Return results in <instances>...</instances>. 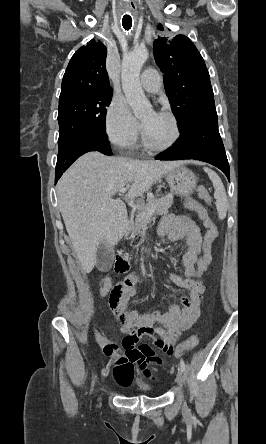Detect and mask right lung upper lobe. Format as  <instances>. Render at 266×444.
<instances>
[{"instance_id":"right-lung-upper-lobe-1","label":"right lung upper lobe","mask_w":266,"mask_h":444,"mask_svg":"<svg viewBox=\"0 0 266 444\" xmlns=\"http://www.w3.org/2000/svg\"><path fill=\"white\" fill-rule=\"evenodd\" d=\"M107 49L94 39L82 46L72 56L61 85L60 100L112 90L106 71Z\"/></svg>"}]
</instances>
